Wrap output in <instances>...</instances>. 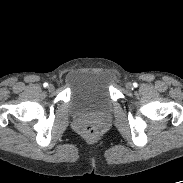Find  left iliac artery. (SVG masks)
<instances>
[{"label": "left iliac artery", "instance_id": "obj_1", "mask_svg": "<svg viewBox=\"0 0 183 183\" xmlns=\"http://www.w3.org/2000/svg\"><path fill=\"white\" fill-rule=\"evenodd\" d=\"M133 86H134V87H137V86H138V84L135 82V83H133Z\"/></svg>", "mask_w": 183, "mask_h": 183}]
</instances>
